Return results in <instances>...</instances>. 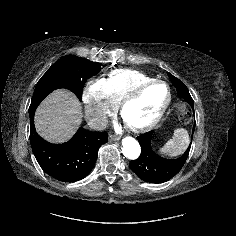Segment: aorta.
<instances>
[{
    "mask_svg": "<svg viewBox=\"0 0 236 236\" xmlns=\"http://www.w3.org/2000/svg\"><path fill=\"white\" fill-rule=\"evenodd\" d=\"M122 152L130 160H135L140 156L141 147L136 139L127 136L122 140Z\"/></svg>",
    "mask_w": 236,
    "mask_h": 236,
    "instance_id": "obj_1",
    "label": "aorta"
}]
</instances>
